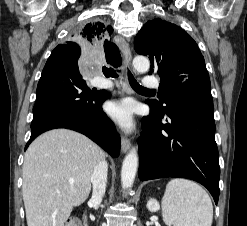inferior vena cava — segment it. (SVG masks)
<instances>
[{"instance_id": "inferior-vena-cava-1", "label": "inferior vena cava", "mask_w": 247, "mask_h": 226, "mask_svg": "<svg viewBox=\"0 0 247 226\" xmlns=\"http://www.w3.org/2000/svg\"><path fill=\"white\" fill-rule=\"evenodd\" d=\"M107 170L108 165L105 160L100 161L91 176V182L93 185L92 197L90 203L97 209L102 201L105 194L106 183H107Z\"/></svg>"}]
</instances>
